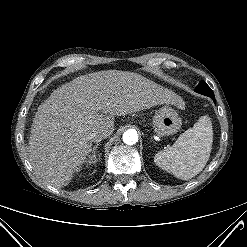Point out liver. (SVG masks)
<instances>
[{"mask_svg":"<svg viewBox=\"0 0 247 247\" xmlns=\"http://www.w3.org/2000/svg\"><path fill=\"white\" fill-rule=\"evenodd\" d=\"M182 99L142 75L107 70L82 75L54 90L33 119L28 144L36 174L55 188L70 183L92 151L89 133L114 131V117Z\"/></svg>","mask_w":247,"mask_h":247,"instance_id":"6515ba94","label":"liver"}]
</instances>
